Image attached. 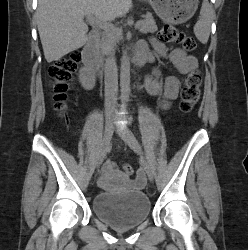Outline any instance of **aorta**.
Listing matches in <instances>:
<instances>
[{"mask_svg": "<svg viewBox=\"0 0 248 250\" xmlns=\"http://www.w3.org/2000/svg\"><path fill=\"white\" fill-rule=\"evenodd\" d=\"M120 88L121 99L125 104L129 99L130 92V61L126 52L123 53V56L121 58Z\"/></svg>", "mask_w": 248, "mask_h": 250, "instance_id": "aorta-1", "label": "aorta"}]
</instances>
